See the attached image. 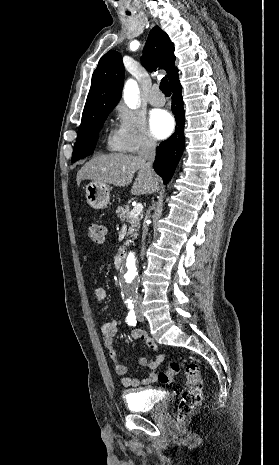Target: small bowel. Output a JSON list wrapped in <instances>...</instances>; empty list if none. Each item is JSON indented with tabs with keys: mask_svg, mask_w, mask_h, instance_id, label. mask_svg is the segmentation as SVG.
I'll return each mask as SVG.
<instances>
[{
	"mask_svg": "<svg viewBox=\"0 0 279 465\" xmlns=\"http://www.w3.org/2000/svg\"><path fill=\"white\" fill-rule=\"evenodd\" d=\"M94 298L96 303H102L107 298V291L103 287L96 288L94 290ZM117 331V320L106 322L102 324L100 328L103 343L108 351L110 360L115 368V372L117 375L122 377V386L125 388H132L138 387L140 385H150L155 383L158 380V375L156 374L155 370L166 359V355L155 354L157 351V344L143 330L137 329L132 331V338L135 340L143 341L145 346L152 352V356L149 358L142 357L139 360L140 365L146 366L151 370L147 377L139 380L136 377L130 376L128 375L129 368L121 363L118 353L113 346V338L117 334Z\"/></svg>",
	"mask_w": 279,
	"mask_h": 465,
	"instance_id": "small-bowel-1",
	"label": "small bowel"
}]
</instances>
